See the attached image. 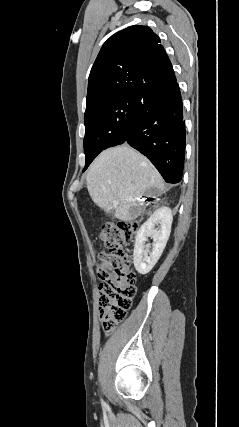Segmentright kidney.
Here are the masks:
<instances>
[{
    "label": "right kidney",
    "instance_id": "right-kidney-1",
    "mask_svg": "<svg viewBox=\"0 0 239 427\" xmlns=\"http://www.w3.org/2000/svg\"><path fill=\"white\" fill-rule=\"evenodd\" d=\"M172 211L169 207L157 209L138 230L134 245L133 263L138 273L145 275L151 271L169 239L172 225ZM159 226V230L155 229ZM153 239L152 251L146 245L147 238Z\"/></svg>",
    "mask_w": 239,
    "mask_h": 427
}]
</instances>
